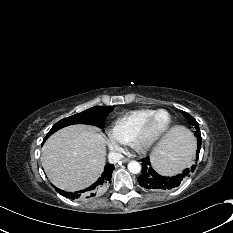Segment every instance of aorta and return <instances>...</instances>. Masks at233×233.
I'll use <instances>...</instances> for the list:
<instances>
[{
	"label": "aorta",
	"mask_w": 233,
	"mask_h": 233,
	"mask_svg": "<svg viewBox=\"0 0 233 233\" xmlns=\"http://www.w3.org/2000/svg\"><path fill=\"white\" fill-rule=\"evenodd\" d=\"M128 170L132 174H138L141 172V164L135 160L128 163Z\"/></svg>",
	"instance_id": "aorta-1"
}]
</instances>
